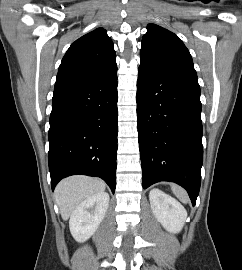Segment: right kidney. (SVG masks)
Listing matches in <instances>:
<instances>
[{
    "label": "right kidney",
    "instance_id": "1",
    "mask_svg": "<svg viewBox=\"0 0 242 270\" xmlns=\"http://www.w3.org/2000/svg\"><path fill=\"white\" fill-rule=\"evenodd\" d=\"M108 206L109 195L106 192L94 194L81 202L69 221L73 238L78 242L89 239L104 219Z\"/></svg>",
    "mask_w": 242,
    "mask_h": 270
}]
</instances>
